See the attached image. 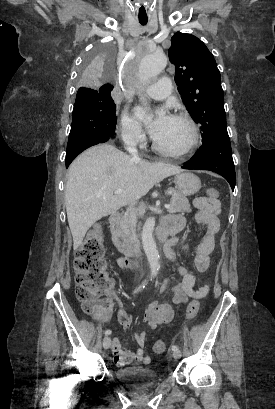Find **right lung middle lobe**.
Here are the masks:
<instances>
[{"mask_svg": "<svg viewBox=\"0 0 275 409\" xmlns=\"http://www.w3.org/2000/svg\"><path fill=\"white\" fill-rule=\"evenodd\" d=\"M111 42H95L88 50L85 64L78 77V90H100L103 79H112L116 72L114 59L119 50H111ZM118 96H97L77 93L73 109L71 131L66 151V168L85 149L109 140L115 134Z\"/></svg>", "mask_w": 275, "mask_h": 409, "instance_id": "obj_1", "label": "right lung middle lobe"}]
</instances>
